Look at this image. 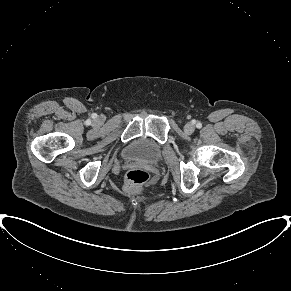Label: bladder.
I'll use <instances>...</instances> for the list:
<instances>
[{
    "label": "bladder",
    "instance_id": "31cf9c89",
    "mask_svg": "<svg viewBox=\"0 0 291 291\" xmlns=\"http://www.w3.org/2000/svg\"><path fill=\"white\" fill-rule=\"evenodd\" d=\"M161 154V146L156 141L146 137L133 140L124 149L125 158L150 163L159 160Z\"/></svg>",
    "mask_w": 291,
    "mask_h": 291
}]
</instances>
